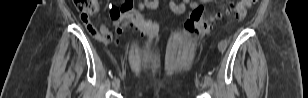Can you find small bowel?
I'll return each instance as SVG.
<instances>
[{
  "label": "small bowel",
  "instance_id": "small-bowel-1",
  "mask_svg": "<svg viewBox=\"0 0 308 98\" xmlns=\"http://www.w3.org/2000/svg\"><path fill=\"white\" fill-rule=\"evenodd\" d=\"M159 1L158 0H153V1H149V0H145V1H138L135 5V7L133 8V4H132V9H140L141 11H143L145 8L148 9H154L158 6ZM203 4V1H192V0H181L179 2L176 1H170L169 5L171 10L176 13V14H181L183 12H185L186 8H190L192 10H195L199 7H201ZM142 15V14H141ZM114 20H118L115 17H112ZM152 24V23H151ZM89 31L91 33H96V31L94 30H90ZM99 31L101 35H106L108 33H111L108 29V27L105 25L104 22H102L101 20L99 21ZM226 46V42L225 41H221L219 43V49L222 51L225 49Z\"/></svg>",
  "mask_w": 308,
  "mask_h": 98
}]
</instances>
